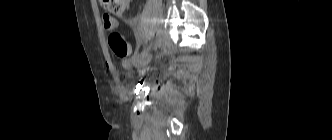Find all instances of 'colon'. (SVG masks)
Wrapping results in <instances>:
<instances>
[{"label":"colon","instance_id":"colon-1","mask_svg":"<svg viewBox=\"0 0 332 140\" xmlns=\"http://www.w3.org/2000/svg\"><path fill=\"white\" fill-rule=\"evenodd\" d=\"M102 6L113 14H120L127 10L129 6V0H100ZM102 24L104 29L111 31L109 36V45L118 57H125L130 52V47L125 41L124 37L116 31L117 20L108 13L103 14Z\"/></svg>","mask_w":332,"mask_h":140}]
</instances>
